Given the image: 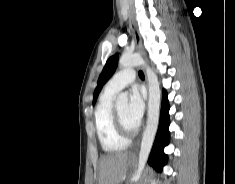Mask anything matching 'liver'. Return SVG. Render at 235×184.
<instances>
[{
  "label": "liver",
  "mask_w": 235,
  "mask_h": 184,
  "mask_svg": "<svg viewBox=\"0 0 235 184\" xmlns=\"http://www.w3.org/2000/svg\"><path fill=\"white\" fill-rule=\"evenodd\" d=\"M128 154L115 152L108 156H101L99 160V184H120L126 176Z\"/></svg>",
  "instance_id": "1"
}]
</instances>
